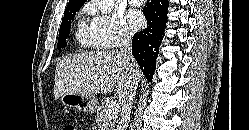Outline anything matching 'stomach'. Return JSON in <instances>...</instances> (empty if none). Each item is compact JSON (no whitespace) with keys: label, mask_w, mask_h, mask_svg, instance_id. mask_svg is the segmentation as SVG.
Segmentation results:
<instances>
[{"label":"stomach","mask_w":249,"mask_h":130,"mask_svg":"<svg viewBox=\"0 0 249 130\" xmlns=\"http://www.w3.org/2000/svg\"><path fill=\"white\" fill-rule=\"evenodd\" d=\"M65 108H72L87 113H94L98 108V100L94 95L83 93H66L60 97Z\"/></svg>","instance_id":"0dacf381"}]
</instances>
